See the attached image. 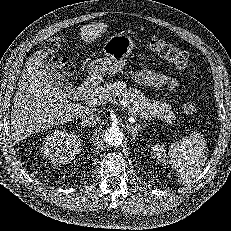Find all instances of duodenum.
I'll use <instances>...</instances> for the list:
<instances>
[{"instance_id": "obj_1", "label": "duodenum", "mask_w": 231, "mask_h": 231, "mask_svg": "<svg viewBox=\"0 0 231 231\" xmlns=\"http://www.w3.org/2000/svg\"><path fill=\"white\" fill-rule=\"evenodd\" d=\"M95 87V80L93 78H88L85 82H83L78 91L79 94L82 96H85L87 94H89L93 88Z\"/></svg>"}]
</instances>
